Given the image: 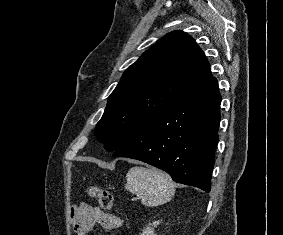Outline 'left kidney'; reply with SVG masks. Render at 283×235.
I'll list each match as a JSON object with an SVG mask.
<instances>
[{"label": "left kidney", "mask_w": 283, "mask_h": 235, "mask_svg": "<svg viewBox=\"0 0 283 235\" xmlns=\"http://www.w3.org/2000/svg\"><path fill=\"white\" fill-rule=\"evenodd\" d=\"M160 220L153 222L149 226H147L140 235H155L154 234V227L160 224Z\"/></svg>", "instance_id": "1"}]
</instances>
